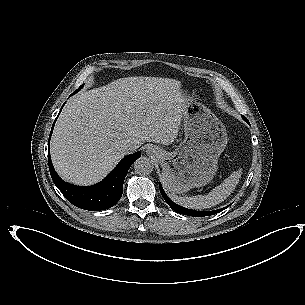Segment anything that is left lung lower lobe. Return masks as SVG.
Returning a JSON list of instances; mask_svg holds the SVG:
<instances>
[{
	"label": "left lung lower lobe",
	"mask_w": 305,
	"mask_h": 305,
	"mask_svg": "<svg viewBox=\"0 0 305 305\" xmlns=\"http://www.w3.org/2000/svg\"><path fill=\"white\" fill-rule=\"evenodd\" d=\"M159 186H160V193H161V195L163 196L164 200L168 203V205L171 207V209L175 211V210H176L177 204H175L174 202H172V201L168 198V196L165 194V192H164L162 186H161V185H159ZM224 209H225V208H222V209H219V210H214V211H208V212H204V214H205V216H209V215L216 214V213H218V212H220V211H222V210H224Z\"/></svg>",
	"instance_id": "obj_1"
}]
</instances>
